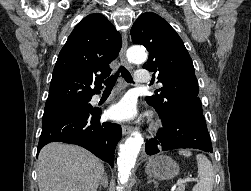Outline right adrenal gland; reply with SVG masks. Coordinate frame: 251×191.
<instances>
[{
  "instance_id": "1",
  "label": "right adrenal gland",
  "mask_w": 251,
  "mask_h": 191,
  "mask_svg": "<svg viewBox=\"0 0 251 191\" xmlns=\"http://www.w3.org/2000/svg\"><path fill=\"white\" fill-rule=\"evenodd\" d=\"M108 187V177H107V173L105 171L100 183H99V191H101V187Z\"/></svg>"
}]
</instances>
